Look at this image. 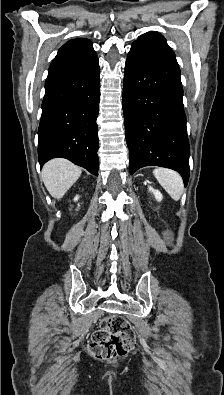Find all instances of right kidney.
Masks as SVG:
<instances>
[{
  "label": "right kidney",
  "instance_id": "ca27d5eb",
  "mask_svg": "<svg viewBox=\"0 0 224 395\" xmlns=\"http://www.w3.org/2000/svg\"><path fill=\"white\" fill-rule=\"evenodd\" d=\"M78 198H79V197H78V196H76V197L74 198V201H77V200H78Z\"/></svg>",
  "mask_w": 224,
  "mask_h": 395
}]
</instances>
